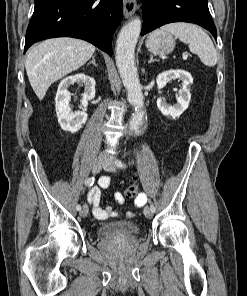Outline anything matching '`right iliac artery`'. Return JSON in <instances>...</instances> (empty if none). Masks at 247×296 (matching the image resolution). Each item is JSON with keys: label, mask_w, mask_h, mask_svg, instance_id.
<instances>
[{"label": "right iliac artery", "mask_w": 247, "mask_h": 296, "mask_svg": "<svg viewBox=\"0 0 247 296\" xmlns=\"http://www.w3.org/2000/svg\"><path fill=\"white\" fill-rule=\"evenodd\" d=\"M95 178L94 177H89L86 181H85V185L86 186H92L94 184ZM77 210H81V206L77 205L76 206Z\"/></svg>", "instance_id": "right-iliac-artery-1"}]
</instances>
